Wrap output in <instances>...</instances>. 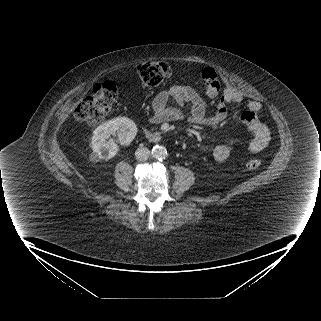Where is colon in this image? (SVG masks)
Segmentation results:
<instances>
[{"mask_svg":"<svg viewBox=\"0 0 321 321\" xmlns=\"http://www.w3.org/2000/svg\"><path fill=\"white\" fill-rule=\"evenodd\" d=\"M138 76L146 86H156L172 77L173 68L165 62H148L141 64L137 69ZM199 77L205 86L209 97H216L221 91V83L216 70L204 67ZM117 97L116 85L111 81L97 83L92 91L84 97L75 109L74 117L77 122L96 124L105 119ZM258 158H250L245 166L249 170L260 167Z\"/></svg>","mask_w":321,"mask_h":321,"instance_id":"obj_1","label":"colon"}]
</instances>
